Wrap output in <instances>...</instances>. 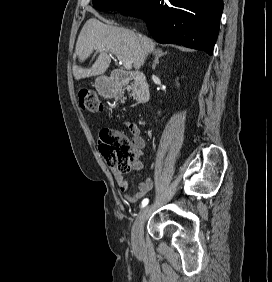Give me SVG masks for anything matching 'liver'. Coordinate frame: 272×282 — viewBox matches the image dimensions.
<instances>
[{"instance_id":"liver-1","label":"liver","mask_w":272,"mask_h":282,"mask_svg":"<svg viewBox=\"0 0 272 282\" xmlns=\"http://www.w3.org/2000/svg\"><path fill=\"white\" fill-rule=\"evenodd\" d=\"M154 47L155 43L148 37L91 18L84 24L78 36L75 55L79 62H84L94 50H98L100 54L90 68L74 64V77L80 80L105 73L111 61L108 53L122 56L133 64L135 70H139Z\"/></svg>"}]
</instances>
